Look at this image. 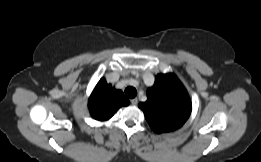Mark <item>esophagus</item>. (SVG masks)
<instances>
[{"label":"esophagus","instance_id":"1","mask_svg":"<svg viewBox=\"0 0 261 162\" xmlns=\"http://www.w3.org/2000/svg\"><path fill=\"white\" fill-rule=\"evenodd\" d=\"M137 103H138V99L137 98L131 99V104L132 105H137Z\"/></svg>","mask_w":261,"mask_h":162}]
</instances>
